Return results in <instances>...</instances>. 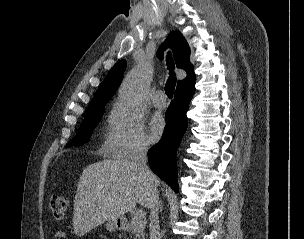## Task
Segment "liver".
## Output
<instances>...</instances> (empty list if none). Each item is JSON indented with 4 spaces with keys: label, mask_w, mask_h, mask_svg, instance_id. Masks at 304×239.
<instances>
[{
    "label": "liver",
    "mask_w": 304,
    "mask_h": 239,
    "mask_svg": "<svg viewBox=\"0 0 304 239\" xmlns=\"http://www.w3.org/2000/svg\"><path fill=\"white\" fill-rule=\"evenodd\" d=\"M149 201L147 184L130 160L104 159L90 164L77 184L74 232L83 236L105 221L121 218L137 203L149 208Z\"/></svg>",
    "instance_id": "obj_1"
}]
</instances>
